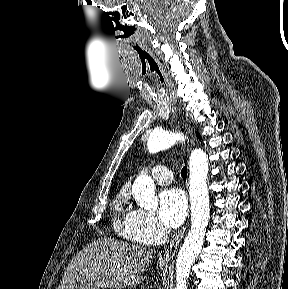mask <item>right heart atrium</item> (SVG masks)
Wrapping results in <instances>:
<instances>
[{
	"label": "right heart atrium",
	"mask_w": 288,
	"mask_h": 289,
	"mask_svg": "<svg viewBox=\"0 0 288 289\" xmlns=\"http://www.w3.org/2000/svg\"><path fill=\"white\" fill-rule=\"evenodd\" d=\"M131 236L139 243L155 244L161 242L166 229L149 212L134 209L127 222Z\"/></svg>",
	"instance_id": "right-heart-atrium-1"
}]
</instances>
